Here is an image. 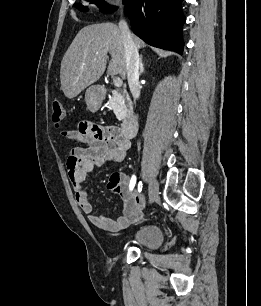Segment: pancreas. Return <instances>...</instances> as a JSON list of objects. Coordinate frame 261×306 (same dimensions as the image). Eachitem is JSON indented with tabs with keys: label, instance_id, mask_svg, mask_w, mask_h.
<instances>
[{
	"label": "pancreas",
	"instance_id": "1",
	"mask_svg": "<svg viewBox=\"0 0 261 306\" xmlns=\"http://www.w3.org/2000/svg\"><path fill=\"white\" fill-rule=\"evenodd\" d=\"M107 104L109 108L113 110L118 120H122L126 117L130 103L125 94H121L118 91L113 90L112 96Z\"/></svg>",
	"mask_w": 261,
	"mask_h": 306
}]
</instances>
